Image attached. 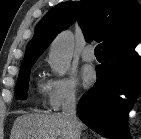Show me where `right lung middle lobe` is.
<instances>
[{"mask_svg":"<svg viewBox=\"0 0 141 139\" xmlns=\"http://www.w3.org/2000/svg\"><path fill=\"white\" fill-rule=\"evenodd\" d=\"M30 66L22 67L20 69V73L17 80L16 92L15 96L16 99L24 100L26 99V93L28 89V81H29V74H30Z\"/></svg>","mask_w":141,"mask_h":139,"instance_id":"1","label":"right lung middle lobe"}]
</instances>
